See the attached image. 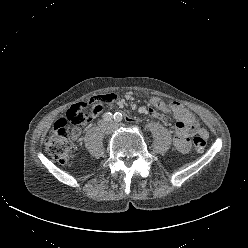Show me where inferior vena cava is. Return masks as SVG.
I'll use <instances>...</instances> for the list:
<instances>
[{
  "label": "inferior vena cava",
  "mask_w": 248,
  "mask_h": 248,
  "mask_svg": "<svg viewBox=\"0 0 248 248\" xmlns=\"http://www.w3.org/2000/svg\"><path fill=\"white\" fill-rule=\"evenodd\" d=\"M114 129H116V127H115V126L112 128V130H114Z\"/></svg>",
  "instance_id": "602c4592"
}]
</instances>
